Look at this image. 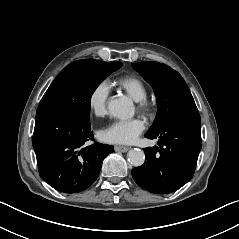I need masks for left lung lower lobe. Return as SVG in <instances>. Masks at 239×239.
I'll return each instance as SVG.
<instances>
[{"label": "left lung lower lobe", "mask_w": 239, "mask_h": 239, "mask_svg": "<svg viewBox=\"0 0 239 239\" xmlns=\"http://www.w3.org/2000/svg\"><path fill=\"white\" fill-rule=\"evenodd\" d=\"M200 126L199 112L191 111L170 118L156 132H147V138L159 139V147L144 149L145 163L132 169L135 182L155 194L185 185L193 177L202 147Z\"/></svg>", "instance_id": "1"}]
</instances>
